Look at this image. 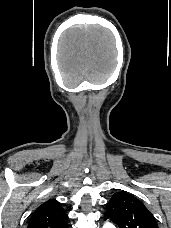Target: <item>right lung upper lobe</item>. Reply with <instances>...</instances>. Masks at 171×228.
<instances>
[{"label":"right lung upper lobe","instance_id":"1","mask_svg":"<svg viewBox=\"0 0 171 228\" xmlns=\"http://www.w3.org/2000/svg\"><path fill=\"white\" fill-rule=\"evenodd\" d=\"M67 220L68 216L61 204L50 199L35 210L27 228H68Z\"/></svg>","mask_w":171,"mask_h":228}]
</instances>
